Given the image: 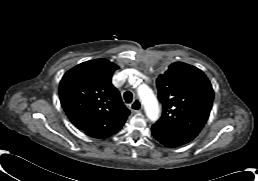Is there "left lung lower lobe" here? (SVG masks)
<instances>
[{
  "instance_id": "0a47b994",
  "label": "left lung lower lobe",
  "mask_w": 258,
  "mask_h": 181,
  "mask_svg": "<svg viewBox=\"0 0 258 181\" xmlns=\"http://www.w3.org/2000/svg\"><path fill=\"white\" fill-rule=\"evenodd\" d=\"M152 134L161 144L167 147H177L186 144L195 138L193 136L170 130L156 124L152 126Z\"/></svg>"
}]
</instances>
